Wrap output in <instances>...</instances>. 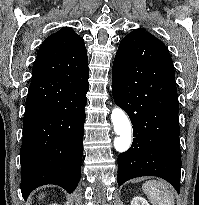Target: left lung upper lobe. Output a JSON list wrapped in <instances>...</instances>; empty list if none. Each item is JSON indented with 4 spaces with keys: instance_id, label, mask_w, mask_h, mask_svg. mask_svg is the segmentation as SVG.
<instances>
[{
    "instance_id": "obj_1",
    "label": "left lung upper lobe",
    "mask_w": 199,
    "mask_h": 205,
    "mask_svg": "<svg viewBox=\"0 0 199 205\" xmlns=\"http://www.w3.org/2000/svg\"><path fill=\"white\" fill-rule=\"evenodd\" d=\"M136 30H141V31H144V32H146L144 29H136ZM147 34H149V35H151L152 37H154L155 39H157L155 36H153L152 34H150V33H148V32H146ZM160 43H162L163 44V42L162 41H160L159 39H157ZM164 45V44H163Z\"/></svg>"
}]
</instances>
